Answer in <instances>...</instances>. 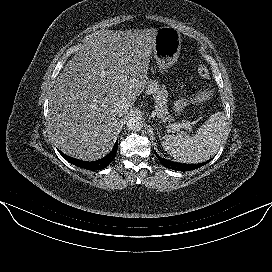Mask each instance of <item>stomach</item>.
Wrapping results in <instances>:
<instances>
[{"label": "stomach", "mask_w": 272, "mask_h": 272, "mask_svg": "<svg viewBox=\"0 0 272 272\" xmlns=\"http://www.w3.org/2000/svg\"><path fill=\"white\" fill-rule=\"evenodd\" d=\"M179 32L169 26L157 29L154 44V58L161 72H166L177 61L181 49Z\"/></svg>", "instance_id": "stomach-1"}]
</instances>
